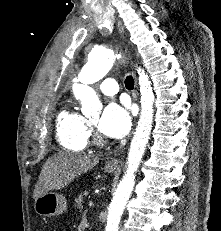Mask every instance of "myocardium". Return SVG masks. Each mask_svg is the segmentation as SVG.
<instances>
[{"label":"myocardium","instance_id":"1","mask_svg":"<svg viewBox=\"0 0 221 231\" xmlns=\"http://www.w3.org/2000/svg\"><path fill=\"white\" fill-rule=\"evenodd\" d=\"M95 143L97 145H103L105 143V141H103L102 139L98 138V139H96Z\"/></svg>","mask_w":221,"mask_h":231}]
</instances>
